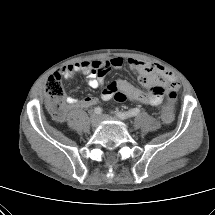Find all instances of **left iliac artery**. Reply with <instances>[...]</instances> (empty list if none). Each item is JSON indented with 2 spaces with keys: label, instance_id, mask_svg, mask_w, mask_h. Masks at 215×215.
I'll list each match as a JSON object with an SVG mask.
<instances>
[{
  "label": "left iliac artery",
  "instance_id": "1",
  "mask_svg": "<svg viewBox=\"0 0 215 215\" xmlns=\"http://www.w3.org/2000/svg\"><path fill=\"white\" fill-rule=\"evenodd\" d=\"M140 113V109L139 108H133L127 112H116V115L122 119V120H126L130 117H134L137 116Z\"/></svg>",
  "mask_w": 215,
  "mask_h": 215
}]
</instances>
